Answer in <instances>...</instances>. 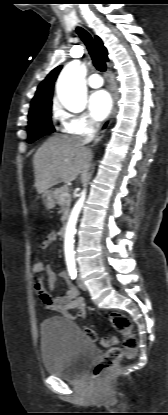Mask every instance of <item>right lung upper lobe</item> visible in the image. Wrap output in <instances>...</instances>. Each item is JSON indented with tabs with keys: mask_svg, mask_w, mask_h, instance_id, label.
<instances>
[{
	"mask_svg": "<svg viewBox=\"0 0 168 415\" xmlns=\"http://www.w3.org/2000/svg\"><path fill=\"white\" fill-rule=\"evenodd\" d=\"M97 45L103 54L104 58L107 59V50L103 46V43L99 37H95ZM62 66H58L55 69H53L48 76L41 82V84L38 86L36 94L31 102L30 112L38 109L42 106L51 104L52 94H53V87L54 82L57 78V75L59 74Z\"/></svg>",
	"mask_w": 168,
	"mask_h": 415,
	"instance_id": "obj_1",
	"label": "right lung upper lobe"
}]
</instances>
